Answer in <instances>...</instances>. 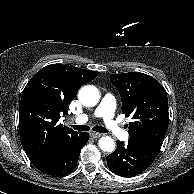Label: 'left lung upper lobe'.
Returning <instances> with one entry per match:
<instances>
[{
    "mask_svg": "<svg viewBox=\"0 0 194 194\" xmlns=\"http://www.w3.org/2000/svg\"><path fill=\"white\" fill-rule=\"evenodd\" d=\"M110 81L120 93L123 113L133 119L129 123L130 138L160 150L169 123L164 87L140 72L112 74Z\"/></svg>",
    "mask_w": 194,
    "mask_h": 194,
    "instance_id": "obj_1",
    "label": "left lung upper lobe"
}]
</instances>
